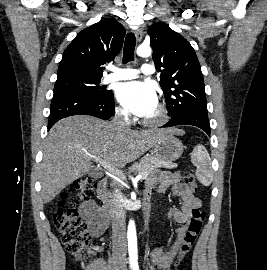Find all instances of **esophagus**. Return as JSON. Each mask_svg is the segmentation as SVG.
Instances as JSON below:
<instances>
[{"instance_id":"esophagus-1","label":"esophagus","mask_w":267,"mask_h":270,"mask_svg":"<svg viewBox=\"0 0 267 270\" xmlns=\"http://www.w3.org/2000/svg\"><path fill=\"white\" fill-rule=\"evenodd\" d=\"M135 36H136V39L138 42H140L143 38V31L142 29L138 28L136 31H135Z\"/></svg>"}]
</instances>
